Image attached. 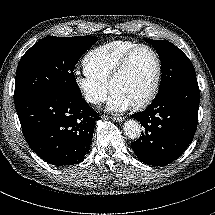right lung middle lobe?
<instances>
[{
  "instance_id": "obj_1",
  "label": "right lung middle lobe",
  "mask_w": 215,
  "mask_h": 215,
  "mask_svg": "<svg viewBox=\"0 0 215 215\" xmlns=\"http://www.w3.org/2000/svg\"><path fill=\"white\" fill-rule=\"evenodd\" d=\"M96 41L95 36H47L35 43L18 63L15 105L46 93L82 97L73 70Z\"/></svg>"
}]
</instances>
